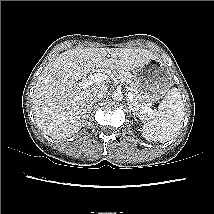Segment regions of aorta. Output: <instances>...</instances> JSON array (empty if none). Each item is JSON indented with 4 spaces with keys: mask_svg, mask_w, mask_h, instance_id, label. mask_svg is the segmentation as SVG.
<instances>
[{
    "mask_svg": "<svg viewBox=\"0 0 214 214\" xmlns=\"http://www.w3.org/2000/svg\"><path fill=\"white\" fill-rule=\"evenodd\" d=\"M112 99H113L114 101H121V100L123 99L122 91L115 90V91L112 93Z\"/></svg>",
    "mask_w": 214,
    "mask_h": 214,
    "instance_id": "aorta-1",
    "label": "aorta"
}]
</instances>
